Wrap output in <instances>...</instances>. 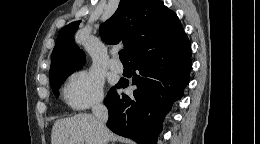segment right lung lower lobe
I'll list each match as a JSON object with an SVG mask.
<instances>
[{"instance_id": "obj_1", "label": "right lung lower lobe", "mask_w": 260, "mask_h": 144, "mask_svg": "<svg viewBox=\"0 0 260 144\" xmlns=\"http://www.w3.org/2000/svg\"><path fill=\"white\" fill-rule=\"evenodd\" d=\"M134 73L131 82L120 80L117 88L136 85L134 94L116 93L113 87L104 99L108 108L107 127L138 144H155L164 116L173 102L181 99L190 81L191 47L186 34L179 39L130 60Z\"/></svg>"}]
</instances>
